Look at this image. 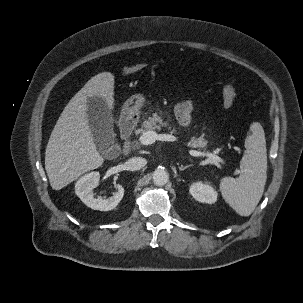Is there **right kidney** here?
<instances>
[{"instance_id":"ca27d5eb","label":"right kidney","mask_w":303,"mask_h":303,"mask_svg":"<svg viewBox=\"0 0 303 303\" xmlns=\"http://www.w3.org/2000/svg\"><path fill=\"white\" fill-rule=\"evenodd\" d=\"M99 172H91L82 176L75 184V193L81 201L94 210L110 211L116 208L124 196V188L117 185V192L107 199L94 198L93 189L99 184Z\"/></svg>"}]
</instances>
